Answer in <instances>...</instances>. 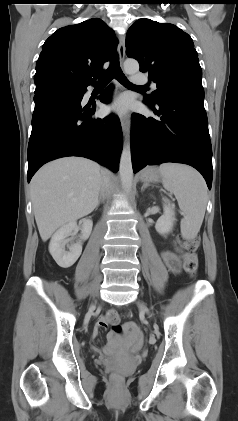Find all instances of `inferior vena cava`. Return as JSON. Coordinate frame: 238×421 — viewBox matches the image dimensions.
<instances>
[{
	"instance_id": "602c4592",
	"label": "inferior vena cava",
	"mask_w": 238,
	"mask_h": 421,
	"mask_svg": "<svg viewBox=\"0 0 238 421\" xmlns=\"http://www.w3.org/2000/svg\"><path fill=\"white\" fill-rule=\"evenodd\" d=\"M106 170H102V178H101V193L104 192L105 187L108 186L109 183V173Z\"/></svg>"
}]
</instances>
